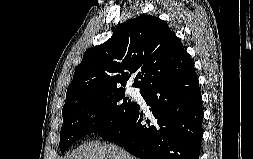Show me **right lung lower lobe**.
I'll list each match as a JSON object with an SVG mask.
<instances>
[{
  "instance_id": "98d812e1",
  "label": "right lung lower lobe",
  "mask_w": 253,
  "mask_h": 159,
  "mask_svg": "<svg viewBox=\"0 0 253 159\" xmlns=\"http://www.w3.org/2000/svg\"><path fill=\"white\" fill-rule=\"evenodd\" d=\"M153 117L140 106L120 125L98 135L141 159H199L203 109L194 68L141 92Z\"/></svg>"
}]
</instances>
